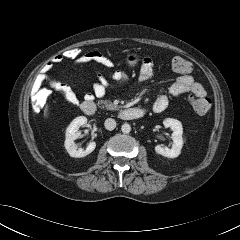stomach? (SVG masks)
Instances as JSON below:
<instances>
[{"mask_svg": "<svg viewBox=\"0 0 240 240\" xmlns=\"http://www.w3.org/2000/svg\"><path fill=\"white\" fill-rule=\"evenodd\" d=\"M139 60V55L137 53H129L127 54L125 61L129 66H134Z\"/></svg>", "mask_w": 240, "mask_h": 240, "instance_id": "stomach-1", "label": "stomach"}]
</instances>
